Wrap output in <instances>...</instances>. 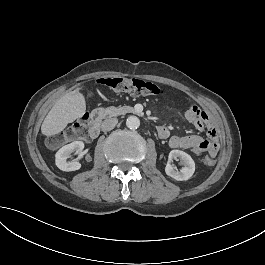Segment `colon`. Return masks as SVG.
<instances>
[{"instance_id": "1", "label": "colon", "mask_w": 265, "mask_h": 265, "mask_svg": "<svg viewBox=\"0 0 265 265\" xmlns=\"http://www.w3.org/2000/svg\"><path fill=\"white\" fill-rule=\"evenodd\" d=\"M98 85L102 88H108L116 93H124L134 97H143L148 95H163L164 89L155 83L138 79V78H122V77H105L98 80ZM75 137L73 130H66L62 133L55 134L49 137L48 144L56 147L62 144L66 139H72ZM214 155L209 157L205 155L203 163L211 166L216 160H213Z\"/></svg>"}]
</instances>
